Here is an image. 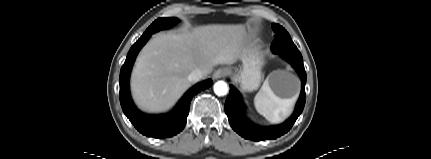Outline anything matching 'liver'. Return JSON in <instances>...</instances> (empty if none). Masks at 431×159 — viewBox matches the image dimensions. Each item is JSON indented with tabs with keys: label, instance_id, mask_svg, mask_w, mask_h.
I'll return each instance as SVG.
<instances>
[{
	"label": "liver",
	"instance_id": "obj_1",
	"mask_svg": "<svg viewBox=\"0 0 431 159\" xmlns=\"http://www.w3.org/2000/svg\"><path fill=\"white\" fill-rule=\"evenodd\" d=\"M244 25H206L156 34L141 50L131 76L132 96L146 112H164L190 87L189 74L207 76L215 65L233 64L246 50Z\"/></svg>",
	"mask_w": 431,
	"mask_h": 159
}]
</instances>
